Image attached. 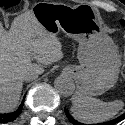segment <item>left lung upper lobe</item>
I'll return each instance as SVG.
<instances>
[{
  "mask_svg": "<svg viewBox=\"0 0 125 125\" xmlns=\"http://www.w3.org/2000/svg\"><path fill=\"white\" fill-rule=\"evenodd\" d=\"M121 24L125 25V21H124V20H121Z\"/></svg>",
  "mask_w": 125,
  "mask_h": 125,
  "instance_id": "5c2ea615",
  "label": "left lung upper lobe"
}]
</instances>
